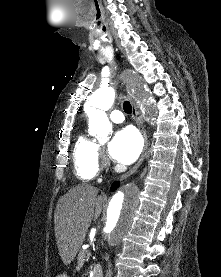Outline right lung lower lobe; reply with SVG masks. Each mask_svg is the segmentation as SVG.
Here are the masks:
<instances>
[{"label": "right lung lower lobe", "mask_w": 221, "mask_h": 277, "mask_svg": "<svg viewBox=\"0 0 221 277\" xmlns=\"http://www.w3.org/2000/svg\"><path fill=\"white\" fill-rule=\"evenodd\" d=\"M118 186H119V184L117 182H115L112 184L111 189L115 190Z\"/></svg>", "instance_id": "right-lung-lower-lobe-1"}]
</instances>
